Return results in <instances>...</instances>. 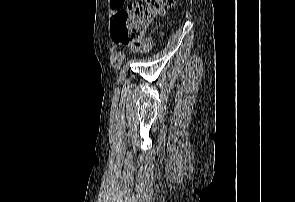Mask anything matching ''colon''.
I'll use <instances>...</instances> for the list:
<instances>
[{
	"label": "colon",
	"mask_w": 295,
	"mask_h": 202,
	"mask_svg": "<svg viewBox=\"0 0 295 202\" xmlns=\"http://www.w3.org/2000/svg\"><path fill=\"white\" fill-rule=\"evenodd\" d=\"M175 2L176 0H137L130 4L114 19V41L118 44L130 43L135 50L147 49L149 43L144 40L147 30Z\"/></svg>",
	"instance_id": "5ec220e1"
}]
</instances>
